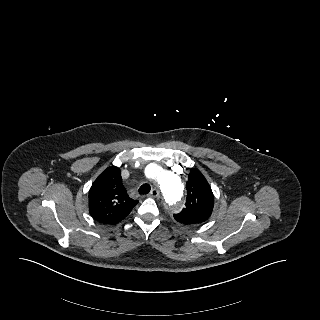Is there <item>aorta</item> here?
I'll list each match as a JSON object with an SVG mask.
<instances>
[{
  "instance_id": "aorta-1",
  "label": "aorta",
  "mask_w": 320,
  "mask_h": 320,
  "mask_svg": "<svg viewBox=\"0 0 320 320\" xmlns=\"http://www.w3.org/2000/svg\"><path fill=\"white\" fill-rule=\"evenodd\" d=\"M148 176L152 175L150 168L146 169ZM158 184L162 190L164 199L169 208L173 211H180L183 206V185L174 173L163 171L158 176Z\"/></svg>"
}]
</instances>
